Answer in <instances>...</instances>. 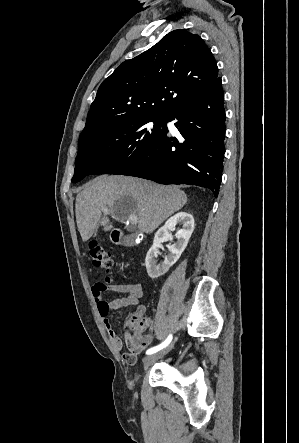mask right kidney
Here are the masks:
<instances>
[{"instance_id": "1", "label": "right kidney", "mask_w": 299, "mask_h": 443, "mask_svg": "<svg viewBox=\"0 0 299 443\" xmlns=\"http://www.w3.org/2000/svg\"><path fill=\"white\" fill-rule=\"evenodd\" d=\"M177 224H181L183 227L176 235V243L170 245L169 254L165 256V259L159 265L156 264V257L159 254V247L163 241L172 240L171 231L175 229ZM194 230V218L191 214L186 212H179L169 218L164 226L160 228L154 237L153 245L149 249L146 255L145 264L147 273L150 278L155 279L164 275L169 268L176 263L180 258L182 252L186 248L191 234Z\"/></svg>"}]
</instances>
